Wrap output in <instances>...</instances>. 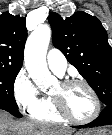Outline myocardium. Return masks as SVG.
<instances>
[{
    "label": "myocardium",
    "instance_id": "1",
    "mask_svg": "<svg viewBox=\"0 0 112 135\" xmlns=\"http://www.w3.org/2000/svg\"><path fill=\"white\" fill-rule=\"evenodd\" d=\"M60 85L63 87H68L71 85L84 86L90 93L92 100H93V106H94L93 112L91 113V115L89 117L83 118V119L76 118L66 110V108L64 107L60 98H58L54 95H51V101H52L53 107H54L55 111L59 114L60 117H62L63 119H65L67 121H70L72 123H76V124H88L98 118L100 111H101L100 99H99L98 94L94 90V88L87 81H85L83 79L73 78V79H67V80L61 81Z\"/></svg>",
    "mask_w": 112,
    "mask_h": 135
}]
</instances>
